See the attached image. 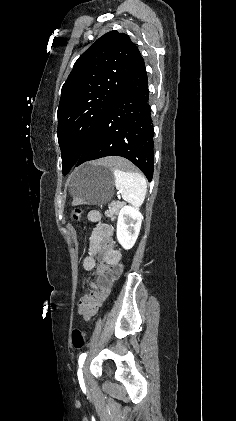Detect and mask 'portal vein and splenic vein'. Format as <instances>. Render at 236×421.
Returning a JSON list of instances; mask_svg holds the SVG:
<instances>
[{
  "label": "portal vein and splenic vein",
  "mask_w": 236,
  "mask_h": 421,
  "mask_svg": "<svg viewBox=\"0 0 236 421\" xmlns=\"http://www.w3.org/2000/svg\"><path fill=\"white\" fill-rule=\"evenodd\" d=\"M117 197H120V193L119 192L117 193Z\"/></svg>",
  "instance_id": "portal-vein-and-splenic-vein-1"
}]
</instances>
